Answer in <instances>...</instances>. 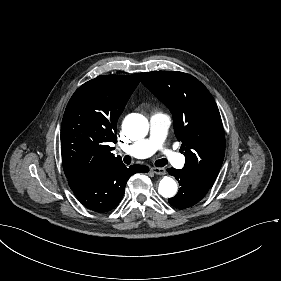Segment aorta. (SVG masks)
Wrapping results in <instances>:
<instances>
[{
  "label": "aorta",
  "mask_w": 281,
  "mask_h": 281,
  "mask_svg": "<svg viewBox=\"0 0 281 281\" xmlns=\"http://www.w3.org/2000/svg\"><path fill=\"white\" fill-rule=\"evenodd\" d=\"M123 129L132 139H141L148 133V120L143 115L131 114L124 120ZM158 191L161 196L171 198L177 193V183L173 178L165 176L159 182Z\"/></svg>",
  "instance_id": "aorta-1"
}]
</instances>
